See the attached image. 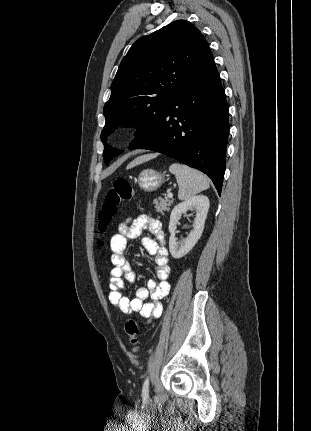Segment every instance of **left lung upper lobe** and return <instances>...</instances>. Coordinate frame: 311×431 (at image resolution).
<instances>
[{
  "instance_id": "5c2ea615",
  "label": "left lung upper lobe",
  "mask_w": 311,
  "mask_h": 431,
  "mask_svg": "<svg viewBox=\"0 0 311 431\" xmlns=\"http://www.w3.org/2000/svg\"><path fill=\"white\" fill-rule=\"evenodd\" d=\"M210 50L204 36L192 23L178 20L138 39L123 58L104 106L106 124L102 142L118 126L136 125V149L157 129L179 89ZM119 155L105 144L108 164Z\"/></svg>"
}]
</instances>
